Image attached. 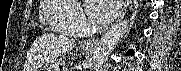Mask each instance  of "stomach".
Segmentation results:
<instances>
[{
  "label": "stomach",
  "instance_id": "stomach-1",
  "mask_svg": "<svg viewBox=\"0 0 181 71\" xmlns=\"http://www.w3.org/2000/svg\"><path fill=\"white\" fill-rule=\"evenodd\" d=\"M83 51L84 52H89L88 49L86 48H83ZM42 71H66V68L64 66H61L57 63L53 64V65H50V66H45Z\"/></svg>",
  "mask_w": 181,
  "mask_h": 71
}]
</instances>
